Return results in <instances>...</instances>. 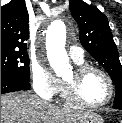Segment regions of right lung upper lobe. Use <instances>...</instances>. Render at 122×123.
<instances>
[{
	"label": "right lung upper lobe",
	"mask_w": 122,
	"mask_h": 123,
	"mask_svg": "<svg viewBox=\"0 0 122 123\" xmlns=\"http://www.w3.org/2000/svg\"><path fill=\"white\" fill-rule=\"evenodd\" d=\"M29 15L24 0L1 6V51L27 52Z\"/></svg>",
	"instance_id": "obj_1"
}]
</instances>
